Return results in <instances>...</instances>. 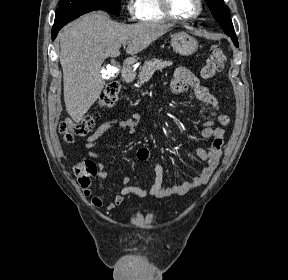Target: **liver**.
<instances>
[{"label": "liver", "mask_w": 288, "mask_h": 280, "mask_svg": "<svg viewBox=\"0 0 288 280\" xmlns=\"http://www.w3.org/2000/svg\"><path fill=\"white\" fill-rule=\"evenodd\" d=\"M171 25L114 22L103 11L79 18L60 33V64L63 70L64 101L68 114L79 122L101 94L105 81L100 68L108 57L135 55L164 35Z\"/></svg>", "instance_id": "obj_1"}]
</instances>
